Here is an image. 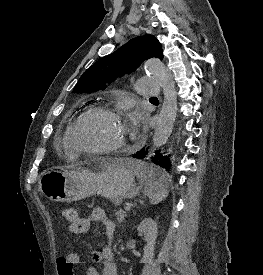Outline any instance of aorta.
<instances>
[{
    "label": "aorta",
    "mask_w": 263,
    "mask_h": 275,
    "mask_svg": "<svg viewBox=\"0 0 263 275\" xmlns=\"http://www.w3.org/2000/svg\"><path fill=\"white\" fill-rule=\"evenodd\" d=\"M145 69L158 82L164 94L152 140L153 146L159 148L167 142L173 130L177 114V92L172 74L160 60L147 61Z\"/></svg>",
    "instance_id": "obj_1"
}]
</instances>
